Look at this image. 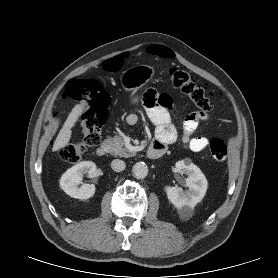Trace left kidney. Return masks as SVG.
I'll return each instance as SVG.
<instances>
[{
  "mask_svg": "<svg viewBox=\"0 0 278 278\" xmlns=\"http://www.w3.org/2000/svg\"><path fill=\"white\" fill-rule=\"evenodd\" d=\"M176 171L186 174V185L189 190L184 192L178 186H166L165 191L169 201L178 209L193 208L199 203L206 191L208 182L202 171L193 163H186L184 160L175 164Z\"/></svg>",
  "mask_w": 278,
  "mask_h": 278,
  "instance_id": "5707ae66",
  "label": "left kidney"
}]
</instances>
